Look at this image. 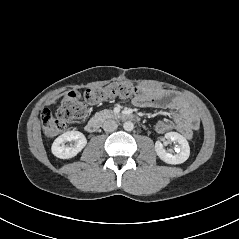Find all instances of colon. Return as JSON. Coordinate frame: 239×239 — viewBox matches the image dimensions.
<instances>
[{"instance_id": "colon-1", "label": "colon", "mask_w": 239, "mask_h": 239, "mask_svg": "<svg viewBox=\"0 0 239 239\" xmlns=\"http://www.w3.org/2000/svg\"><path fill=\"white\" fill-rule=\"evenodd\" d=\"M142 89L128 82L112 83L105 87L87 89L82 96L79 92H70L63 99L56 117L48 109L41 115L44 132L48 137H55L65 131L72 123L84 119L89 113V105H95L114 97L139 95ZM154 130L159 136H166L172 130V123L167 120H157Z\"/></svg>"}]
</instances>
